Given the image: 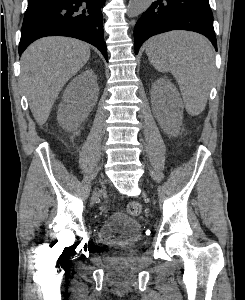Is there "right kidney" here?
I'll list each match as a JSON object with an SVG mask.
<instances>
[{
	"instance_id": "obj_1",
	"label": "right kidney",
	"mask_w": 245,
	"mask_h": 300,
	"mask_svg": "<svg viewBox=\"0 0 245 300\" xmlns=\"http://www.w3.org/2000/svg\"><path fill=\"white\" fill-rule=\"evenodd\" d=\"M97 76L92 70L77 75L64 91L57 112L60 126L74 131L88 117L98 100Z\"/></svg>"
}]
</instances>
